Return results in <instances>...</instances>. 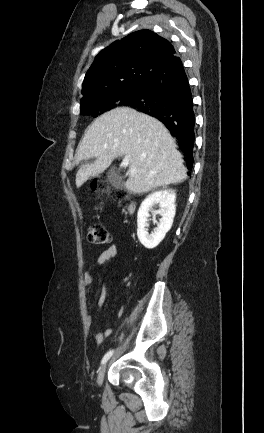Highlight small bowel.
I'll use <instances>...</instances> for the list:
<instances>
[{
    "mask_svg": "<svg viewBox=\"0 0 264 433\" xmlns=\"http://www.w3.org/2000/svg\"><path fill=\"white\" fill-rule=\"evenodd\" d=\"M118 253V248L116 245L112 244L110 245L106 250H104L98 257L97 262L99 265H103L106 263V261H108L109 259L113 258L114 256H116V254ZM93 282V276L90 272H86L83 275V283L85 285H90ZM106 300V289L104 286L100 287L99 293H98V305L101 308ZM122 309L119 310L118 315L122 314ZM86 322L88 324V326H91L93 323V318L92 316L88 315L86 318ZM112 329L108 328L104 331H97L95 333V341L97 344H101L104 339L108 336H110L112 334Z\"/></svg>",
    "mask_w": 264,
    "mask_h": 433,
    "instance_id": "c3829d8e",
    "label": "small bowel"
}]
</instances>
